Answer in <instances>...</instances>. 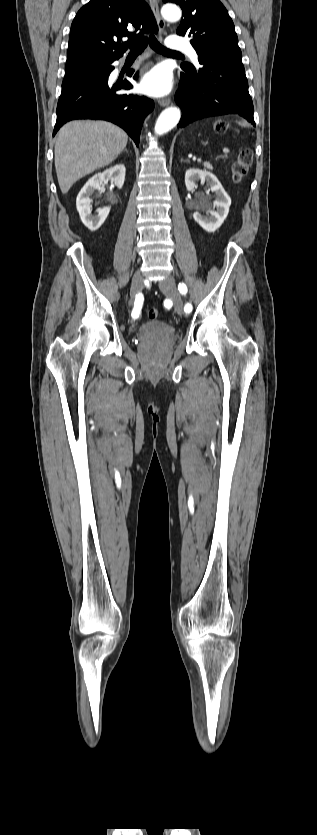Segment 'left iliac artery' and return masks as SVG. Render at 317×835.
Here are the masks:
<instances>
[{
    "label": "left iliac artery",
    "mask_w": 317,
    "mask_h": 835,
    "mask_svg": "<svg viewBox=\"0 0 317 835\" xmlns=\"http://www.w3.org/2000/svg\"><path fill=\"white\" fill-rule=\"evenodd\" d=\"M178 290L180 291V293H181V294L185 295V294L187 293V286H186V284H184V283H179V285H178ZM184 311H186V312H188V313H189V312H191V311H192V305H191L190 303H186V305H185V307H184Z\"/></svg>",
    "instance_id": "obj_1"
}]
</instances>
